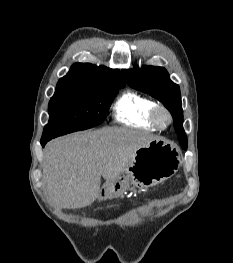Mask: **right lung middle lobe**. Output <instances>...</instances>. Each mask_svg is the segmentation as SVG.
<instances>
[{"mask_svg": "<svg viewBox=\"0 0 233 263\" xmlns=\"http://www.w3.org/2000/svg\"><path fill=\"white\" fill-rule=\"evenodd\" d=\"M120 88L92 94L53 96L48 106L49 122L44 127L41 140H51L101 124Z\"/></svg>", "mask_w": 233, "mask_h": 263, "instance_id": "right-lung-middle-lobe-1", "label": "right lung middle lobe"}]
</instances>
